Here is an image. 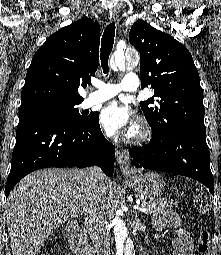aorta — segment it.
Masks as SVG:
<instances>
[{
    "instance_id": "aorta-1",
    "label": "aorta",
    "mask_w": 221,
    "mask_h": 255,
    "mask_svg": "<svg viewBox=\"0 0 221 255\" xmlns=\"http://www.w3.org/2000/svg\"><path fill=\"white\" fill-rule=\"evenodd\" d=\"M138 61V56L133 51H129L126 54L122 52L115 53V65L119 69H124L125 67L132 69L137 66ZM113 221L116 224L115 239L118 246L117 255H135L134 244L125 224L118 216Z\"/></svg>"
}]
</instances>
